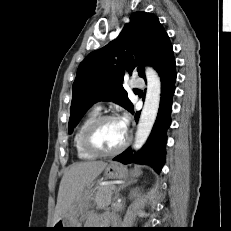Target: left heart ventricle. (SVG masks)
Here are the masks:
<instances>
[{"instance_id":"b2bd125f","label":"left heart ventricle","mask_w":231,"mask_h":231,"mask_svg":"<svg viewBox=\"0 0 231 231\" xmlns=\"http://www.w3.org/2000/svg\"><path fill=\"white\" fill-rule=\"evenodd\" d=\"M126 138V132L117 120L104 122L95 132L94 143L104 151L119 147Z\"/></svg>"}]
</instances>
